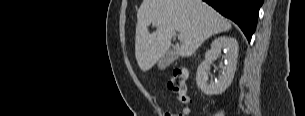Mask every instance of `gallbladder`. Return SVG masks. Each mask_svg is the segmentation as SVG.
Here are the masks:
<instances>
[{"instance_id": "1", "label": "gallbladder", "mask_w": 305, "mask_h": 116, "mask_svg": "<svg viewBox=\"0 0 305 116\" xmlns=\"http://www.w3.org/2000/svg\"><path fill=\"white\" fill-rule=\"evenodd\" d=\"M177 59L175 49L168 50L158 61V68L164 70Z\"/></svg>"}]
</instances>
